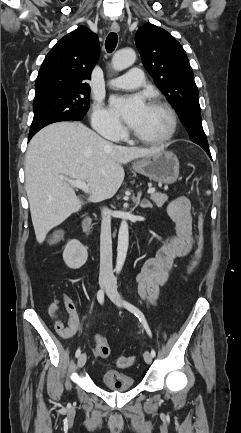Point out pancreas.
Returning a JSON list of instances; mask_svg holds the SVG:
<instances>
[{
	"label": "pancreas",
	"instance_id": "pancreas-1",
	"mask_svg": "<svg viewBox=\"0 0 241 433\" xmlns=\"http://www.w3.org/2000/svg\"><path fill=\"white\" fill-rule=\"evenodd\" d=\"M150 198L158 207H162L168 201V196L160 192L152 193Z\"/></svg>",
	"mask_w": 241,
	"mask_h": 433
}]
</instances>
